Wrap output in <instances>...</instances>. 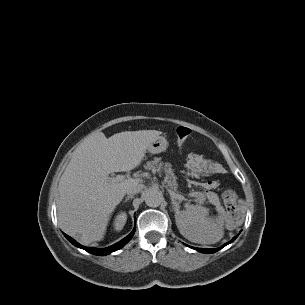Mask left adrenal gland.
I'll return each instance as SVG.
<instances>
[{"label": "left adrenal gland", "instance_id": "1", "mask_svg": "<svg viewBox=\"0 0 305 305\" xmlns=\"http://www.w3.org/2000/svg\"><path fill=\"white\" fill-rule=\"evenodd\" d=\"M171 201H172V205H173L172 207H173L174 211H177L178 204L175 202L173 197H171Z\"/></svg>", "mask_w": 305, "mask_h": 305}]
</instances>
